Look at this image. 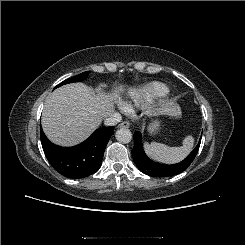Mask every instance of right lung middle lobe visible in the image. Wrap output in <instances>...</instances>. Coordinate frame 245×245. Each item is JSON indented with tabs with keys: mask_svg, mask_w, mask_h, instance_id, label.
<instances>
[{
	"mask_svg": "<svg viewBox=\"0 0 245 245\" xmlns=\"http://www.w3.org/2000/svg\"><path fill=\"white\" fill-rule=\"evenodd\" d=\"M88 74H89V71L83 72V73H81V74H79L77 76H74L72 78H69V79L65 80L64 82H62L61 84H59L56 87H59L61 85L67 84V83L83 81V80H85L87 78Z\"/></svg>",
	"mask_w": 245,
	"mask_h": 245,
	"instance_id": "obj_1",
	"label": "right lung middle lobe"
}]
</instances>
